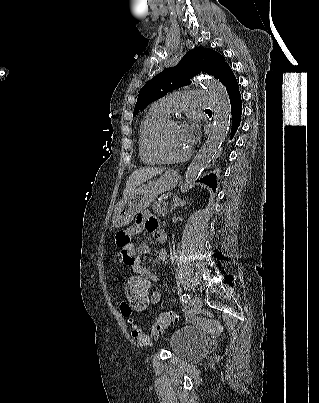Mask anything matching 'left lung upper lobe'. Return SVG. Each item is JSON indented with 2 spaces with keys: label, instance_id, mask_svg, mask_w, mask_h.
I'll use <instances>...</instances> for the list:
<instances>
[{
  "label": "left lung upper lobe",
  "instance_id": "5c2ea615",
  "mask_svg": "<svg viewBox=\"0 0 319 403\" xmlns=\"http://www.w3.org/2000/svg\"><path fill=\"white\" fill-rule=\"evenodd\" d=\"M228 66L224 56L212 49L200 47L189 51L175 67L164 69L142 87L133 116L168 92L189 85L192 76L208 73L220 79Z\"/></svg>",
  "mask_w": 319,
  "mask_h": 403
}]
</instances>
